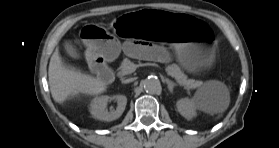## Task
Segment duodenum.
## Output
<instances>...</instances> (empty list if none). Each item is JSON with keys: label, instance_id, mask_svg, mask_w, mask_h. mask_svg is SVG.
<instances>
[{"label": "duodenum", "instance_id": "410a0bca", "mask_svg": "<svg viewBox=\"0 0 279 148\" xmlns=\"http://www.w3.org/2000/svg\"><path fill=\"white\" fill-rule=\"evenodd\" d=\"M90 68L104 81H109L112 78V72L107 62L100 57H93L90 59Z\"/></svg>", "mask_w": 279, "mask_h": 148}]
</instances>
